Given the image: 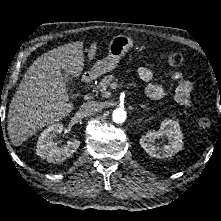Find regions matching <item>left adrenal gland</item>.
<instances>
[{"label": "left adrenal gland", "instance_id": "obj_1", "mask_svg": "<svg viewBox=\"0 0 221 221\" xmlns=\"http://www.w3.org/2000/svg\"><path fill=\"white\" fill-rule=\"evenodd\" d=\"M145 110H149V108H145V107H143Z\"/></svg>", "mask_w": 221, "mask_h": 221}]
</instances>
